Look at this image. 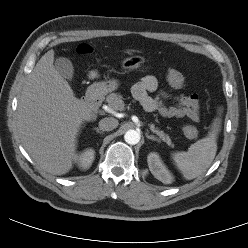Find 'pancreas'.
<instances>
[{
    "instance_id": "pancreas-1",
    "label": "pancreas",
    "mask_w": 248,
    "mask_h": 248,
    "mask_svg": "<svg viewBox=\"0 0 248 248\" xmlns=\"http://www.w3.org/2000/svg\"><path fill=\"white\" fill-rule=\"evenodd\" d=\"M123 97L118 93H111L106 97V102L108 106L113 110H123L124 102ZM150 129L153 133L157 134L161 140L166 142L168 145H172L171 139L168 135H166L163 131L155 128L154 124H150Z\"/></svg>"
}]
</instances>
